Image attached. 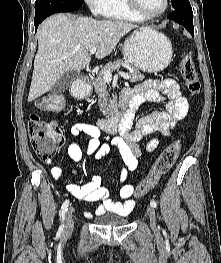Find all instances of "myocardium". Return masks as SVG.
<instances>
[{"label":"myocardium","mask_w":221,"mask_h":263,"mask_svg":"<svg viewBox=\"0 0 221 263\" xmlns=\"http://www.w3.org/2000/svg\"><path fill=\"white\" fill-rule=\"evenodd\" d=\"M128 6L142 19V20H151V19H156L160 16H162L169 8L170 5V0H165L164 7L162 8L161 11L154 13V14H146L138 0H126Z\"/></svg>","instance_id":"1"}]
</instances>
